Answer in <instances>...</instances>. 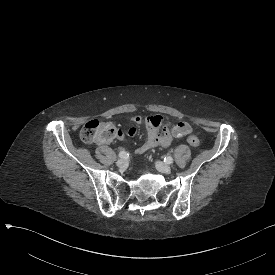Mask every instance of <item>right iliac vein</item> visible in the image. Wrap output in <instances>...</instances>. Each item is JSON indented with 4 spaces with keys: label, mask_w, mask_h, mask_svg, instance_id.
Instances as JSON below:
<instances>
[{
    "label": "right iliac vein",
    "mask_w": 275,
    "mask_h": 275,
    "mask_svg": "<svg viewBox=\"0 0 275 275\" xmlns=\"http://www.w3.org/2000/svg\"><path fill=\"white\" fill-rule=\"evenodd\" d=\"M116 165H117L119 168H126L127 165H128V160L125 159V158L119 159V160H117Z\"/></svg>",
    "instance_id": "right-iliac-vein-1"
}]
</instances>
